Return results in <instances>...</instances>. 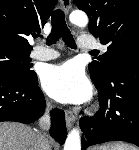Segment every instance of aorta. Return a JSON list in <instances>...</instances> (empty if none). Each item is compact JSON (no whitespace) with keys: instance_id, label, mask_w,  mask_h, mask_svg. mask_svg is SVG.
Returning a JSON list of instances; mask_svg holds the SVG:
<instances>
[{"instance_id":"obj_1","label":"aorta","mask_w":139,"mask_h":150,"mask_svg":"<svg viewBox=\"0 0 139 150\" xmlns=\"http://www.w3.org/2000/svg\"><path fill=\"white\" fill-rule=\"evenodd\" d=\"M70 22L79 27H84L88 23V17L85 12L76 10L69 16ZM64 150H81V138L78 128H74L68 134Z\"/></svg>"}]
</instances>
